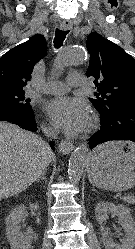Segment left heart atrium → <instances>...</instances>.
Returning a JSON list of instances; mask_svg holds the SVG:
<instances>
[{"label": "left heart atrium", "mask_w": 135, "mask_h": 249, "mask_svg": "<svg viewBox=\"0 0 135 249\" xmlns=\"http://www.w3.org/2000/svg\"><path fill=\"white\" fill-rule=\"evenodd\" d=\"M46 112L56 127L70 134L81 132L89 119L86 103L73 97L64 96L49 101Z\"/></svg>", "instance_id": "left-heart-atrium-1"}]
</instances>
